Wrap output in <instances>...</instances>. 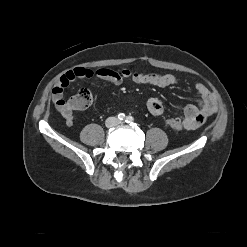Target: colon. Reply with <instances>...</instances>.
<instances>
[{
  "label": "colon",
  "mask_w": 247,
  "mask_h": 247,
  "mask_svg": "<svg viewBox=\"0 0 247 247\" xmlns=\"http://www.w3.org/2000/svg\"><path fill=\"white\" fill-rule=\"evenodd\" d=\"M92 103V95L88 89H81L74 97L70 99L73 109H84ZM166 126L172 130H182L183 123L179 119H168Z\"/></svg>",
  "instance_id": "colon-1"
}]
</instances>
